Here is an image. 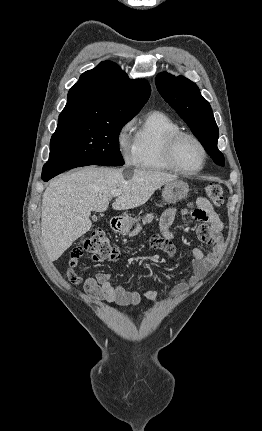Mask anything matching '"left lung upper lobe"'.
Instances as JSON below:
<instances>
[{
	"instance_id": "5c2ea615",
	"label": "left lung upper lobe",
	"mask_w": 262,
	"mask_h": 431,
	"mask_svg": "<svg viewBox=\"0 0 262 431\" xmlns=\"http://www.w3.org/2000/svg\"><path fill=\"white\" fill-rule=\"evenodd\" d=\"M156 86L164 100L188 124L213 161L224 166L223 154L217 148L218 127L210 104L195 83L166 72L156 77Z\"/></svg>"
}]
</instances>
